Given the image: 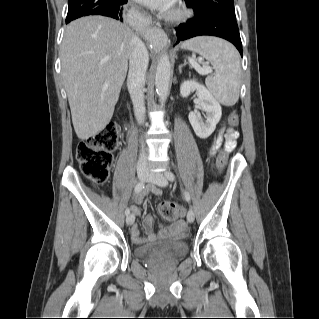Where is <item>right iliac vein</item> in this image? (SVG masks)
I'll return each instance as SVG.
<instances>
[{
	"mask_svg": "<svg viewBox=\"0 0 319 319\" xmlns=\"http://www.w3.org/2000/svg\"><path fill=\"white\" fill-rule=\"evenodd\" d=\"M137 174H138V178L141 180V181H145L147 178H148V171L146 169H139L137 171ZM134 215L133 214H129L126 218V223L128 225H132L133 222H134Z\"/></svg>",
	"mask_w": 319,
	"mask_h": 319,
	"instance_id": "obj_1",
	"label": "right iliac vein"
}]
</instances>
